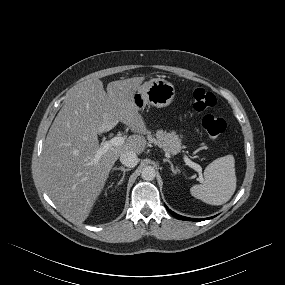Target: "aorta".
Listing matches in <instances>:
<instances>
[{
  "instance_id": "1",
  "label": "aorta",
  "mask_w": 285,
  "mask_h": 285,
  "mask_svg": "<svg viewBox=\"0 0 285 285\" xmlns=\"http://www.w3.org/2000/svg\"><path fill=\"white\" fill-rule=\"evenodd\" d=\"M156 176V171L152 166H146L142 169L141 177L146 181H152Z\"/></svg>"
}]
</instances>
